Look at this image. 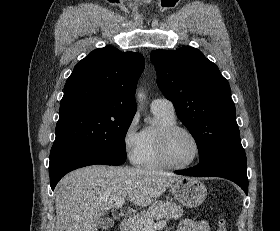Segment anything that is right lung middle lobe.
Wrapping results in <instances>:
<instances>
[{
  "mask_svg": "<svg viewBox=\"0 0 280 231\" xmlns=\"http://www.w3.org/2000/svg\"><path fill=\"white\" fill-rule=\"evenodd\" d=\"M132 117L95 116L58 120L54 145H74L125 161V135Z\"/></svg>",
  "mask_w": 280,
  "mask_h": 231,
  "instance_id": "right-lung-middle-lobe-1",
  "label": "right lung middle lobe"
}]
</instances>
